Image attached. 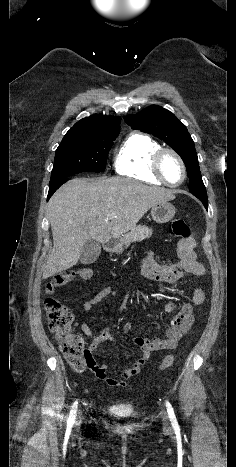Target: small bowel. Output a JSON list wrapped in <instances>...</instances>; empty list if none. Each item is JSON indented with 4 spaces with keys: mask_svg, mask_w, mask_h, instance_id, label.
<instances>
[{
    "mask_svg": "<svg viewBox=\"0 0 236 467\" xmlns=\"http://www.w3.org/2000/svg\"><path fill=\"white\" fill-rule=\"evenodd\" d=\"M178 260L171 265L159 264L152 251H148L143 259L142 268L145 276L154 282L175 283L182 280L186 275L204 276L205 267L197 259V244L195 241L187 239L178 244ZM114 291L113 286H107L97 292L91 299L83 304V311L91 312L107 296ZM205 302V293L202 288L196 287L191 296V303H185L177 311V305L174 302H168L165 305L167 313H176L171 322L167 325L164 338L147 339L143 337H134L133 343L140 350V357L134 363L121 372L123 380L130 379L138 375L142 366L149 359L154 351L173 349L177 346L179 340L189 330L193 323V306H200ZM124 333H129L132 329V323L126 322L122 326ZM81 330L85 335L91 338L90 350H96L104 342H114L115 339L109 330L103 329L96 331L92 328L88 319L81 322ZM93 358V357H92ZM89 369L98 379L106 382L110 386L124 387L125 382L109 376L105 365L98 364L94 358Z\"/></svg>",
    "mask_w": 236,
    "mask_h": 467,
    "instance_id": "obj_1",
    "label": "small bowel"
}]
</instances>
